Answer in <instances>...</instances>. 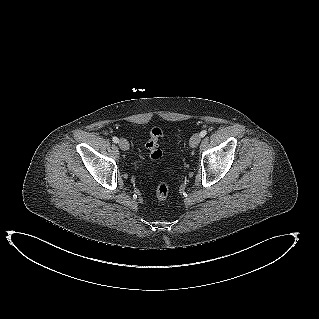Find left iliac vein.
Wrapping results in <instances>:
<instances>
[{
	"instance_id": "1",
	"label": "left iliac vein",
	"mask_w": 319,
	"mask_h": 319,
	"mask_svg": "<svg viewBox=\"0 0 319 319\" xmlns=\"http://www.w3.org/2000/svg\"><path fill=\"white\" fill-rule=\"evenodd\" d=\"M200 141H201V136H200V134H194V135L190 138L189 145H190V147L195 148V147L198 146V144L200 143Z\"/></svg>"
}]
</instances>
